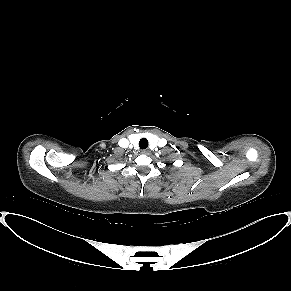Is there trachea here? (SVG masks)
Wrapping results in <instances>:
<instances>
[{"label":"trachea","mask_w":291,"mask_h":291,"mask_svg":"<svg viewBox=\"0 0 291 291\" xmlns=\"http://www.w3.org/2000/svg\"><path fill=\"white\" fill-rule=\"evenodd\" d=\"M140 149H146L148 147V140L146 138H142L139 141Z\"/></svg>","instance_id":"trachea-1"}]
</instances>
